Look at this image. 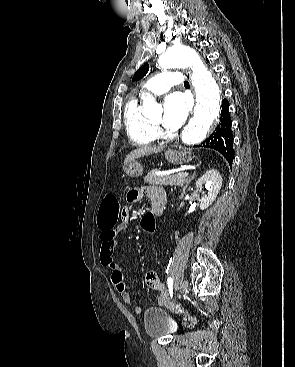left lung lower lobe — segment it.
Instances as JSON below:
<instances>
[{"label": "left lung lower lobe", "mask_w": 295, "mask_h": 367, "mask_svg": "<svg viewBox=\"0 0 295 367\" xmlns=\"http://www.w3.org/2000/svg\"><path fill=\"white\" fill-rule=\"evenodd\" d=\"M203 147L215 149L220 152L229 164H232L234 158L233 136L231 132V118L229 115V102L224 99L222 102V111L220 123L215 131L203 142Z\"/></svg>", "instance_id": "obj_1"}]
</instances>
